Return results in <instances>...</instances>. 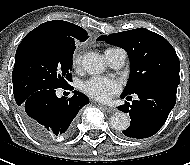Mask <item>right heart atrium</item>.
Wrapping results in <instances>:
<instances>
[{
	"mask_svg": "<svg viewBox=\"0 0 190 165\" xmlns=\"http://www.w3.org/2000/svg\"><path fill=\"white\" fill-rule=\"evenodd\" d=\"M82 61V54L81 52L77 51L72 56V66L74 68H78L81 65Z\"/></svg>",
	"mask_w": 190,
	"mask_h": 165,
	"instance_id": "right-heart-atrium-1",
	"label": "right heart atrium"
}]
</instances>
